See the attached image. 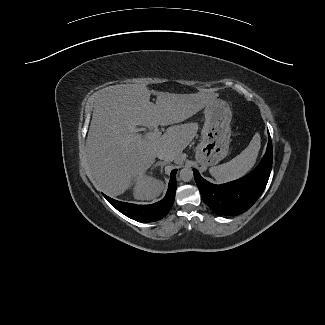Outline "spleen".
<instances>
[{
	"instance_id": "3e777b00",
	"label": "spleen",
	"mask_w": 325,
	"mask_h": 325,
	"mask_svg": "<svg viewBox=\"0 0 325 325\" xmlns=\"http://www.w3.org/2000/svg\"><path fill=\"white\" fill-rule=\"evenodd\" d=\"M261 147L260 134L256 133L249 145L231 161L210 168L211 175L218 182H228L247 174L254 166Z\"/></svg>"
}]
</instances>
